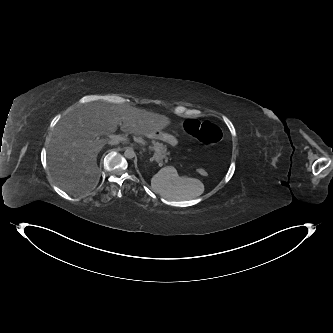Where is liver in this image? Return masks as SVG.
Listing matches in <instances>:
<instances>
[{
	"mask_svg": "<svg viewBox=\"0 0 333 333\" xmlns=\"http://www.w3.org/2000/svg\"><path fill=\"white\" fill-rule=\"evenodd\" d=\"M171 123L164 115L104 101L86 103L63 117L56 125L48 149V166L63 190L82 193L99 181L97 155L107 143L98 136H111L117 126L125 134L159 139ZM124 143L128 140H124Z\"/></svg>",
	"mask_w": 333,
	"mask_h": 333,
	"instance_id": "1",
	"label": "liver"
}]
</instances>
